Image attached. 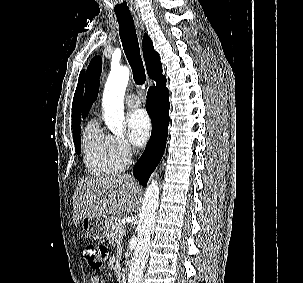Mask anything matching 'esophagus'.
<instances>
[{
	"mask_svg": "<svg viewBox=\"0 0 303 283\" xmlns=\"http://www.w3.org/2000/svg\"><path fill=\"white\" fill-rule=\"evenodd\" d=\"M134 20H135L136 26H137L139 29L142 30V29H143V22H142L140 16H135Z\"/></svg>",
	"mask_w": 303,
	"mask_h": 283,
	"instance_id": "esophagus-1",
	"label": "esophagus"
}]
</instances>
